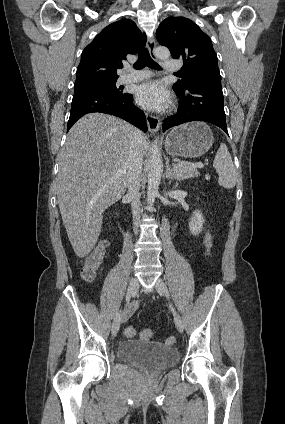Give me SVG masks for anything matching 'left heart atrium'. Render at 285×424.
<instances>
[{
	"instance_id": "left-heart-atrium-1",
	"label": "left heart atrium",
	"mask_w": 285,
	"mask_h": 424,
	"mask_svg": "<svg viewBox=\"0 0 285 424\" xmlns=\"http://www.w3.org/2000/svg\"><path fill=\"white\" fill-rule=\"evenodd\" d=\"M136 98L144 108L161 111L170 101L166 88L158 81H148L140 85L136 90Z\"/></svg>"
}]
</instances>
